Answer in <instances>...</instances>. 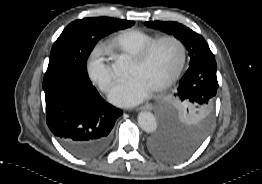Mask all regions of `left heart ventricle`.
Masks as SVG:
<instances>
[{"label":"left heart ventricle","mask_w":262,"mask_h":184,"mask_svg":"<svg viewBox=\"0 0 262 184\" xmlns=\"http://www.w3.org/2000/svg\"><path fill=\"white\" fill-rule=\"evenodd\" d=\"M181 60V50L172 41L160 43L142 64L131 61L128 76H138L152 89L164 82L175 71Z\"/></svg>","instance_id":"1"}]
</instances>
